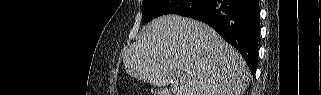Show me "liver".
Returning <instances> with one entry per match:
<instances>
[{
    "label": "liver",
    "mask_w": 321,
    "mask_h": 95,
    "mask_svg": "<svg viewBox=\"0 0 321 95\" xmlns=\"http://www.w3.org/2000/svg\"><path fill=\"white\" fill-rule=\"evenodd\" d=\"M122 56L131 77L171 82L173 95H243L251 78L243 57L215 30L178 15L151 21Z\"/></svg>",
    "instance_id": "6515ba94"
}]
</instances>
